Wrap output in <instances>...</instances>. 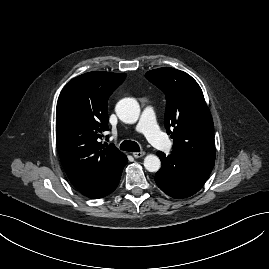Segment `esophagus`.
I'll return each instance as SVG.
<instances>
[{
	"instance_id": "34e87169",
	"label": "esophagus",
	"mask_w": 269,
	"mask_h": 269,
	"mask_svg": "<svg viewBox=\"0 0 269 269\" xmlns=\"http://www.w3.org/2000/svg\"><path fill=\"white\" fill-rule=\"evenodd\" d=\"M132 155H133L135 158H140V157H143V156L145 155V152H144V151L134 152V153H132Z\"/></svg>"
}]
</instances>
